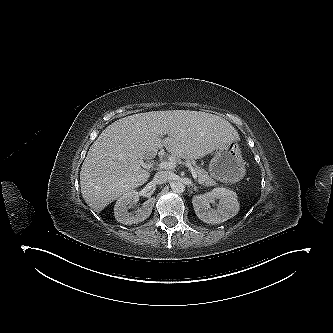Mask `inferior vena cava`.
I'll list each match as a JSON object with an SVG mask.
<instances>
[{
	"instance_id": "inferior-vena-cava-1",
	"label": "inferior vena cava",
	"mask_w": 333,
	"mask_h": 333,
	"mask_svg": "<svg viewBox=\"0 0 333 333\" xmlns=\"http://www.w3.org/2000/svg\"><path fill=\"white\" fill-rule=\"evenodd\" d=\"M153 180L156 184H164L171 180V174L166 171H159L155 174Z\"/></svg>"
}]
</instances>
